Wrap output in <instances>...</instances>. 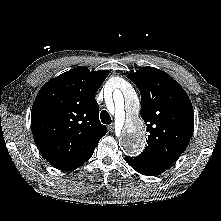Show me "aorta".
Here are the masks:
<instances>
[{
    "label": "aorta",
    "mask_w": 221,
    "mask_h": 221,
    "mask_svg": "<svg viewBox=\"0 0 221 221\" xmlns=\"http://www.w3.org/2000/svg\"><path fill=\"white\" fill-rule=\"evenodd\" d=\"M121 87L113 91L115 119L124 125L120 137L123 150L135 156L144 149L147 132L144 122L138 117L139 99L134 88L125 81L121 82Z\"/></svg>",
    "instance_id": "obj_1"
}]
</instances>
